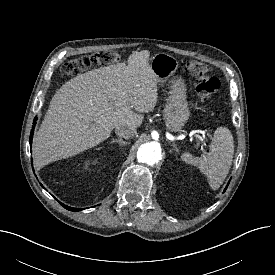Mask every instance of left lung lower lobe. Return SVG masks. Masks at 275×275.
I'll use <instances>...</instances> for the list:
<instances>
[{"mask_svg":"<svg viewBox=\"0 0 275 275\" xmlns=\"http://www.w3.org/2000/svg\"><path fill=\"white\" fill-rule=\"evenodd\" d=\"M228 184H229V183H228ZM227 186H228V185H227ZM227 186H226L225 190L227 189ZM225 190H224V191H225Z\"/></svg>","mask_w":275,"mask_h":275,"instance_id":"0a47b994","label":"left lung lower lobe"}]
</instances>
